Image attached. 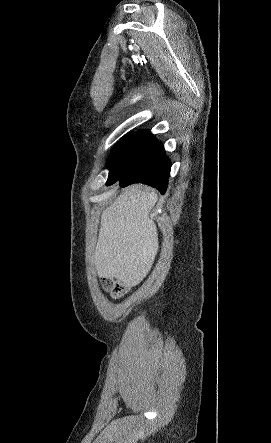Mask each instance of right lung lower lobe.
<instances>
[{"mask_svg": "<svg viewBox=\"0 0 271 443\" xmlns=\"http://www.w3.org/2000/svg\"><path fill=\"white\" fill-rule=\"evenodd\" d=\"M171 163L163 145L147 131L131 134L119 156L109 167L106 185L119 181L122 187L144 183L166 191Z\"/></svg>", "mask_w": 271, "mask_h": 443, "instance_id": "right-lung-lower-lobe-1", "label": "right lung lower lobe"}]
</instances>
